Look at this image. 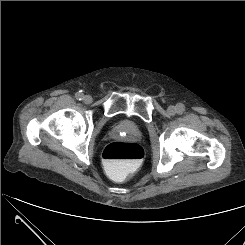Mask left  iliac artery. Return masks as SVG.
Returning a JSON list of instances; mask_svg holds the SVG:
<instances>
[{
	"label": "left iliac artery",
	"instance_id": "1",
	"mask_svg": "<svg viewBox=\"0 0 245 245\" xmlns=\"http://www.w3.org/2000/svg\"><path fill=\"white\" fill-rule=\"evenodd\" d=\"M184 109H185V106L183 104L181 103L177 104L178 113H183Z\"/></svg>",
	"mask_w": 245,
	"mask_h": 245
}]
</instances>
